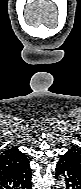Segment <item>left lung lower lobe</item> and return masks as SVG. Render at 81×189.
Wrapping results in <instances>:
<instances>
[{
	"mask_svg": "<svg viewBox=\"0 0 81 189\" xmlns=\"http://www.w3.org/2000/svg\"><path fill=\"white\" fill-rule=\"evenodd\" d=\"M60 175L64 178L66 189H81V168L67 154L62 155L57 162L56 179Z\"/></svg>",
	"mask_w": 81,
	"mask_h": 189,
	"instance_id": "obj_1",
	"label": "left lung lower lobe"
}]
</instances>
